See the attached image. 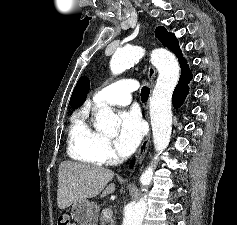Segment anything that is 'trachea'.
Masks as SVG:
<instances>
[{
  "label": "trachea",
  "mask_w": 237,
  "mask_h": 225,
  "mask_svg": "<svg viewBox=\"0 0 237 225\" xmlns=\"http://www.w3.org/2000/svg\"><path fill=\"white\" fill-rule=\"evenodd\" d=\"M149 94H150V88H148L147 86L142 87L141 98L143 101H146L148 99Z\"/></svg>",
  "instance_id": "3493384b"
}]
</instances>
